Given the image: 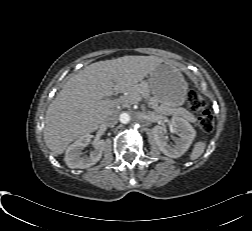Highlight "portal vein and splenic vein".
<instances>
[{
    "instance_id": "portal-vein-and-splenic-vein-1",
    "label": "portal vein and splenic vein",
    "mask_w": 252,
    "mask_h": 231,
    "mask_svg": "<svg viewBox=\"0 0 252 231\" xmlns=\"http://www.w3.org/2000/svg\"><path fill=\"white\" fill-rule=\"evenodd\" d=\"M120 101H121V99L116 101V100H110L109 98H106L105 100H103L104 103H115V102H120Z\"/></svg>"
}]
</instances>
